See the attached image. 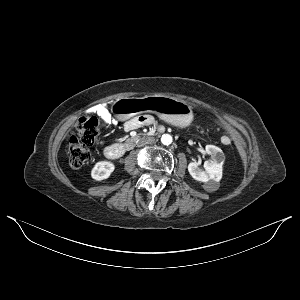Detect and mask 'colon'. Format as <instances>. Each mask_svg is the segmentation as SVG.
<instances>
[{
	"label": "colon",
	"instance_id": "5ec220e1",
	"mask_svg": "<svg viewBox=\"0 0 300 300\" xmlns=\"http://www.w3.org/2000/svg\"><path fill=\"white\" fill-rule=\"evenodd\" d=\"M145 121L144 118H140ZM78 136H72L68 143L69 163L73 168H81L91 157L90 148L101 142L102 134L96 117L83 119L77 126Z\"/></svg>",
	"mask_w": 300,
	"mask_h": 300
}]
</instances>
